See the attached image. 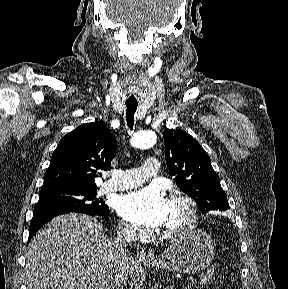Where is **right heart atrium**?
<instances>
[{
	"instance_id": "right-heart-atrium-1",
	"label": "right heart atrium",
	"mask_w": 288,
	"mask_h": 289,
	"mask_svg": "<svg viewBox=\"0 0 288 289\" xmlns=\"http://www.w3.org/2000/svg\"><path fill=\"white\" fill-rule=\"evenodd\" d=\"M119 228L120 231L129 238H134L140 233L137 228L124 223L120 224Z\"/></svg>"
}]
</instances>
